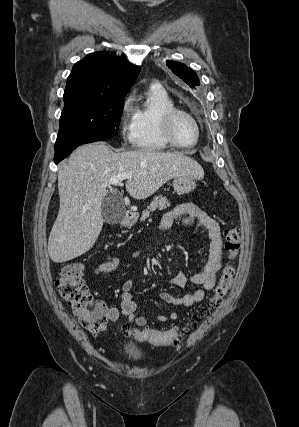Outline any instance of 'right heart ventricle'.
Returning a JSON list of instances; mask_svg holds the SVG:
<instances>
[{"label": "right heart ventricle", "instance_id": "obj_1", "mask_svg": "<svg viewBox=\"0 0 299 427\" xmlns=\"http://www.w3.org/2000/svg\"><path fill=\"white\" fill-rule=\"evenodd\" d=\"M176 108L173 99L158 85L150 86L143 100L134 107L133 145L142 150L163 151L170 148L161 131V115Z\"/></svg>", "mask_w": 299, "mask_h": 427}]
</instances>
